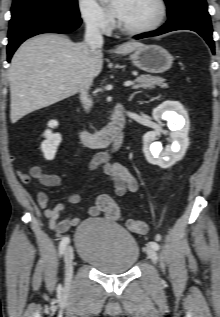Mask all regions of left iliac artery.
<instances>
[{"instance_id":"obj_1","label":"left iliac artery","mask_w":220,"mask_h":317,"mask_svg":"<svg viewBox=\"0 0 220 317\" xmlns=\"http://www.w3.org/2000/svg\"><path fill=\"white\" fill-rule=\"evenodd\" d=\"M149 245L154 248L155 250H159L160 246L158 243L154 242V241H151L149 242Z\"/></svg>"}]
</instances>
